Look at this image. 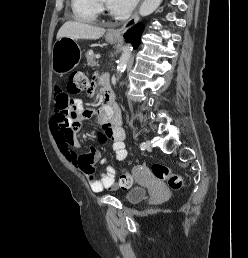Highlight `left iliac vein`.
I'll list each match as a JSON object with an SVG mask.
<instances>
[{"label": "left iliac vein", "instance_id": "left-iliac-vein-1", "mask_svg": "<svg viewBox=\"0 0 248 258\" xmlns=\"http://www.w3.org/2000/svg\"><path fill=\"white\" fill-rule=\"evenodd\" d=\"M145 149L148 151H151V149H152L151 142L149 140L145 141Z\"/></svg>", "mask_w": 248, "mask_h": 258}]
</instances>
